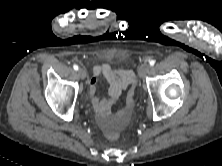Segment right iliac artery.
Returning <instances> with one entry per match:
<instances>
[{
	"label": "right iliac artery",
	"instance_id": "obj_1",
	"mask_svg": "<svg viewBox=\"0 0 222 166\" xmlns=\"http://www.w3.org/2000/svg\"><path fill=\"white\" fill-rule=\"evenodd\" d=\"M73 68H74V70L77 71V70H78V65L74 64V65H73Z\"/></svg>",
	"mask_w": 222,
	"mask_h": 166
}]
</instances>
